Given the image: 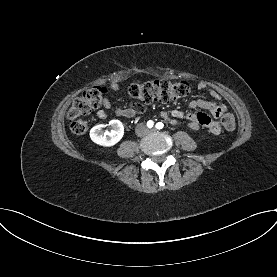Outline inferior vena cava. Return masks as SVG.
Wrapping results in <instances>:
<instances>
[{
    "instance_id": "1",
    "label": "inferior vena cava",
    "mask_w": 277,
    "mask_h": 277,
    "mask_svg": "<svg viewBox=\"0 0 277 277\" xmlns=\"http://www.w3.org/2000/svg\"><path fill=\"white\" fill-rule=\"evenodd\" d=\"M135 132L137 136L141 137L144 136L148 132V130L144 124H139L136 126Z\"/></svg>"
}]
</instances>
